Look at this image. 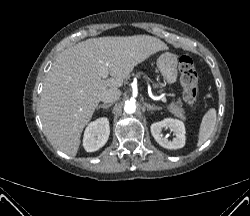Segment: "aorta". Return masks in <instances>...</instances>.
<instances>
[{
  "label": "aorta",
  "instance_id": "aorta-1",
  "mask_svg": "<svg viewBox=\"0 0 250 216\" xmlns=\"http://www.w3.org/2000/svg\"><path fill=\"white\" fill-rule=\"evenodd\" d=\"M124 111L128 114H132L136 111V104L132 101H127L124 105Z\"/></svg>",
  "mask_w": 250,
  "mask_h": 216
}]
</instances>
